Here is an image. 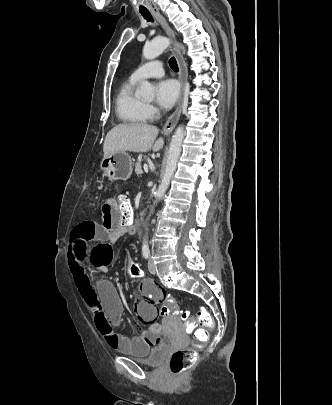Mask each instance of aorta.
Segmentation results:
<instances>
[{
	"label": "aorta",
	"instance_id": "762f6f07",
	"mask_svg": "<svg viewBox=\"0 0 332 405\" xmlns=\"http://www.w3.org/2000/svg\"><path fill=\"white\" fill-rule=\"evenodd\" d=\"M170 45V40L163 36H156L149 43H146L143 47V56L147 60H152L158 57L164 52V50ZM153 86L148 81H143L140 86V93L142 96H148L152 94ZM185 136L184 126L180 125L175 130L169 147L167 162L165 171L161 183L156 191L157 200H161L165 195L170 181L176 171L177 163L181 154L182 142ZM147 243V240H144Z\"/></svg>",
	"mask_w": 332,
	"mask_h": 405
}]
</instances>
